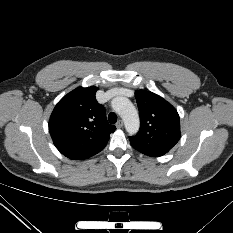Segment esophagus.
<instances>
[{"label":"esophagus","mask_w":233,"mask_h":233,"mask_svg":"<svg viewBox=\"0 0 233 233\" xmlns=\"http://www.w3.org/2000/svg\"><path fill=\"white\" fill-rule=\"evenodd\" d=\"M116 127L118 129L122 128L123 127V121L122 120H119L117 123H116Z\"/></svg>","instance_id":"obj_1"}]
</instances>
